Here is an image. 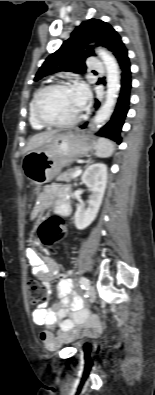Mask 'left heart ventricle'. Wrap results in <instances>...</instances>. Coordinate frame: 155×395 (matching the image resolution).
<instances>
[{"mask_svg":"<svg viewBox=\"0 0 155 395\" xmlns=\"http://www.w3.org/2000/svg\"><path fill=\"white\" fill-rule=\"evenodd\" d=\"M79 112L73 88L51 90L40 101V113L49 121L67 122Z\"/></svg>","mask_w":155,"mask_h":395,"instance_id":"1","label":"left heart ventricle"}]
</instances>
